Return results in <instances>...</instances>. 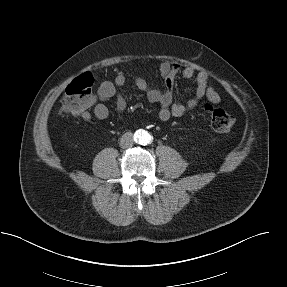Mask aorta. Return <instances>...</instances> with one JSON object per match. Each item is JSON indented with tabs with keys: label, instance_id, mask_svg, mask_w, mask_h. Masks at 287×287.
I'll list each match as a JSON object with an SVG mask.
<instances>
[{
	"label": "aorta",
	"instance_id": "1",
	"mask_svg": "<svg viewBox=\"0 0 287 287\" xmlns=\"http://www.w3.org/2000/svg\"><path fill=\"white\" fill-rule=\"evenodd\" d=\"M150 140H151V136L148 133L145 132L142 134V139H141L142 143L147 144L150 142Z\"/></svg>",
	"mask_w": 287,
	"mask_h": 287
}]
</instances>
